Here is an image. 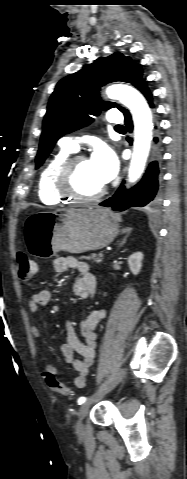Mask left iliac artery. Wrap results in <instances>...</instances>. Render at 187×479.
I'll use <instances>...</instances> for the list:
<instances>
[{
	"instance_id": "1",
	"label": "left iliac artery",
	"mask_w": 187,
	"mask_h": 479,
	"mask_svg": "<svg viewBox=\"0 0 187 479\" xmlns=\"http://www.w3.org/2000/svg\"><path fill=\"white\" fill-rule=\"evenodd\" d=\"M85 401H86V398H85V397H80L77 402H78L79 405H81V404H83Z\"/></svg>"
}]
</instances>
